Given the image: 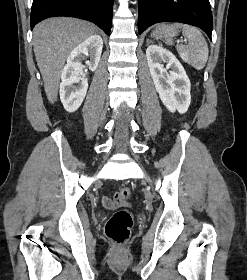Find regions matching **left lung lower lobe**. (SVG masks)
Listing matches in <instances>:
<instances>
[{"label": "left lung lower lobe", "instance_id": "obj_1", "mask_svg": "<svg viewBox=\"0 0 247 280\" xmlns=\"http://www.w3.org/2000/svg\"><path fill=\"white\" fill-rule=\"evenodd\" d=\"M183 22L201 28L211 39L209 0H138V33L158 22Z\"/></svg>", "mask_w": 247, "mask_h": 280}]
</instances>
